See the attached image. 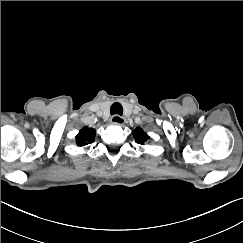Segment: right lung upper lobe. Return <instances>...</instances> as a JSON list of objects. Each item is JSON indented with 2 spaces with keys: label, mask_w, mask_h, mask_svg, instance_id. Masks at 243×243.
Masks as SVG:
<instances>
[{
  "label": "right lung upper lobe",
  "mask_w": 243,
  "mask_h": 243,
  "mask_svg": "<svg viewBox=\"0 0 243 243\" xmlns=\"http://www.w3.org/2000/svg\"><path fill=\"white\" fill-rule=\"evenodd\" d=\"M95 129L84 127L82 128L76 136L77 145L84 146L94 142L95 140Z\"/></svg>",
  "instance_id": "1"
}]
</instances>
